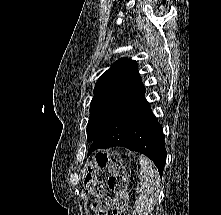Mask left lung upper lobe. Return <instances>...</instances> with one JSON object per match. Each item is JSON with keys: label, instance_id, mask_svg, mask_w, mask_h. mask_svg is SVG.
Returning a JSON list of instances; mask_svg holds the SVG:
<instances>
[{"label": "left lung upper lobe", "instance_id": "obj_1", "mask_svg": "<svg viewBox=\"0 0 221 215\" xmlns=\"http://www.w3.org/2000/svg\"><path fill=\"white\" fill-rule=\"evenodd\" d=\"M144 94L137 62L126 58L116 61L95 85L87 124L88 142L105 131Z\"/></svg>", "mask_w": 221, "mask_h": 215}]
</instances>
